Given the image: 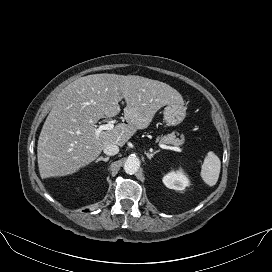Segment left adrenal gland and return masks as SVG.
<instances>
[{
	"instance_id": "obj_1",
	"label": "left adrenal gland",
	"mask_w": 272,
	"mask_h": 272,
	"mask_svg": "<svg viewBox=\"0 0 272 272\" xmlns=\"http://www.w3.org/2000/svg\"><path fill=\"white\" fill-rule=\"evenodd\" d=\"M158 152H159V150L154 151V152H152V153H145V154H146V156L148 157V159L151 160V159L153 158V156H154L155 154H157Z\"/></svg>"
}]
</instances>
